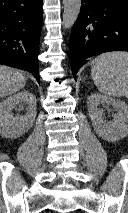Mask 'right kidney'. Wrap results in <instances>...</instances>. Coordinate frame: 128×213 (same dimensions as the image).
Masks as SVG:
<instances>
[{
	"label": "right kidney",
	"instance_id": "ca27d5eb",
	"mask_svg": "<svg viewBox=\"0 0 128 213\" xmlns=\"http://www.w3.org/2000/svg\"><path fill=\"white\" fill-rule=\"evenodd\" d=\"M19 103L27 105L26 114L14 116L12 110ZM36 117V97L28 90H23L0 102V134L5 138L15 139L26 133Z\"/></svg>",
	"mask_w": 128,
	"mask_h": 213
}]
</instances>
